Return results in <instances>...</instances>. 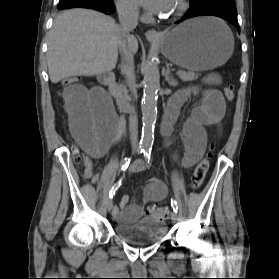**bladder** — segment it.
<instances>
[{
  "instance_id": "obj_1",
  "label": "bladder",
  "mask_w": 279,
  "mask_h": 279,
  "mask_svg": "<svg viewBox=\"0 0 279 279\" xmlns=\"http://www.w3.org/2000/svg\"><path fill=\"white\" fill-rule=\"evenodd\" d=\"M114 232L118 238L128 244L150 245L165 237L167 224L163 220L144 217L132 225L116 223Z\"/></svg>"
}]
</instances>
